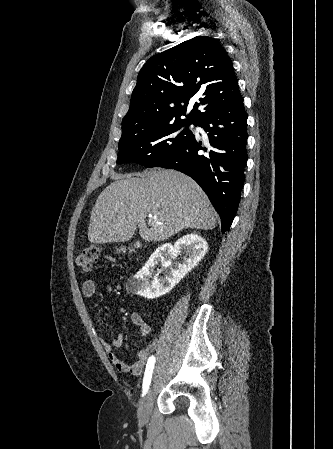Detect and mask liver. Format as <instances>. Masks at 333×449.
Wrapping results in <instances>:
<instances>
[{
    "instance_id": "6515ba94",
    "label": "liver",
    "mask_w": 333,
    "mask_h": 449,
    "mask_svg": "<svg viewBox=\"0 0 333 449\" xmlns=\"http://www.w3.org/2000/svg\"><path fill=\"white\" fill-rule=\"evenodd\" d=\"M149 218L148 226L146 217ZM216 218L201 187L174 170L151 169L123 175L98 196L88 239L105 244L129 240L137 227L145 241L166 240L183 229L212 230Z\"/></svg>"
}]
</instances>
